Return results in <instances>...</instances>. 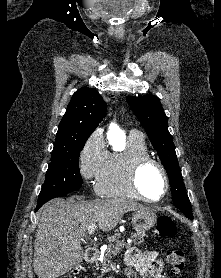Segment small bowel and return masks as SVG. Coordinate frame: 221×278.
<instances>
[{"label": "small bowel", "mask_w": 221, "mask_h": 278, "mask_svg": "<svg viewBox=\"0 0 221 278\" xmlns=\"http://www.w3.org/2000/svg\"><path fill=\"white\" fill-rule=\"evenodd\" d=\"M126 262L134 267L144 278H162V262L158 258L156 251L141 252L132 249L127 252ZM127 275L132 277V272L128 270Z\"/></svg>", "instance_id": "1"}]
</instances>
